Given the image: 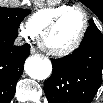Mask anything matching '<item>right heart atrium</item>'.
Masks as SVG:
<instances>
[{
  "label": "right heart atrium",
  "instance_id": "d8ad5b80",
  "mask_svg": "<svg viewBox=\"0 0 103 103\" xmlns=\"http://www.w3.org/2000/svg\"><path fill=\"white\" fill-rule=\"evenodd\" d=\"M19 33L23 38L29 39L34 37V35L32 34V32L28 29L27 26H23L21 25L19 27Z\"/></svg>",
  "mask_w": 103,
  "mask_h": 103
}]
</instances>
